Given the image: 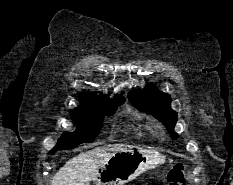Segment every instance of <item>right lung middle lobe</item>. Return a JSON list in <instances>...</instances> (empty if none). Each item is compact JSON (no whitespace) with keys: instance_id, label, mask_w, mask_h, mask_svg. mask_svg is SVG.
<instances>
[{"instance_id":"dd1d6c3e","label":"right lung middle lobe","mask_w":233,"mask_h":185,"mask_svg":"<svg viewBox=\"0 0 233 185\" xmlns=\"http://www.w3.org/2000/svg\"><path fill=\"white\" fill-rule=\"evenodd\" d=\"M123 103L124 101L106 102L93 107L77 108L74 114L77 129L73 133H64L50 154L61 149H72L94 139L102 127L104 116L113 115L117 106Z\"/></svg>"}]
</instances>
